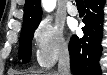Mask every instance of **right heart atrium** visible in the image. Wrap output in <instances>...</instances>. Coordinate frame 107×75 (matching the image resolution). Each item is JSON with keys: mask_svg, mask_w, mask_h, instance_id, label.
<instances>
[{"mask_svg": "<svg viewBox=\"0 0 107 75\" xmlns=\"http://www.w3.org/2000/svg\"><path fill=\"white\" fill-rule=\"evenodd\" d=\"M37 60L44 67H51L68 52V42L63 27L50 18L42 19L33 31Z\"/></svg>", "mask_w": 107, "mask_h": 75, "instance_id": "1", "label": "right heart atrium"}]
</instances>
